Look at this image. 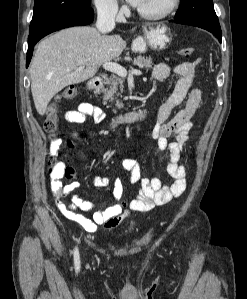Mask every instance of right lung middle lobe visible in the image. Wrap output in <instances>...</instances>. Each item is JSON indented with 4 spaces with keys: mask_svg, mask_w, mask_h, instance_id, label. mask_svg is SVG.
Wrapping results in <instances>:
<instances>
[{
    "mask_svg": "<svg viewBox=\"0 0 247 299\" xmlns=\"http://www.w3.org/2000/svg\"><path fill=\"white\" fill-rule=\"evenodd\" d=\"M91 0H35L34 13L29 30L65 12L90 7Z\"/></svg>",
    "mask_w": 247,
    "mask_h": 299,
    "instance_id": "obj_1",
    "label": "right lung middle lobe"
}]
</instances>
